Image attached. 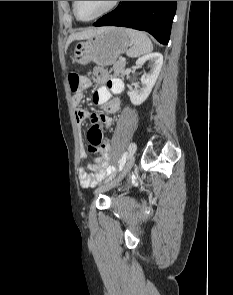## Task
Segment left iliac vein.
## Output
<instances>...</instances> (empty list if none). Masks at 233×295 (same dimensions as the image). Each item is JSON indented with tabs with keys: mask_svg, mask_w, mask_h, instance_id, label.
<instances>
[{
	"mask_svg": "<svg viewBox=\"0 0 233 295\" xmlns=\"http://www.w3.org/2000/svg\"><path fill=\"white\" fill-rule=\"evenodd\" d=\"M134 163H135V156L133 154H131L126 161L122 172L113 180H111V181L105 183L104 185L100 186L99 188H97L95 191V194H99V193L108 191L111 188H113L114 186H116L130 172V170L134 166Z\"/></svg>",
	"mask_w": 233,
	"mask_h": 295,
	"instance_id": "1",
	"label": "left iliac vein"
}]
</instances>
